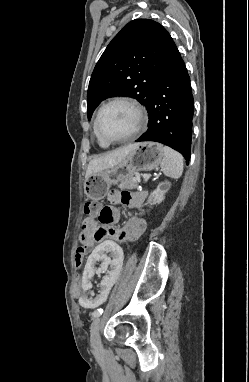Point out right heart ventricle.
Here are the masks:
<instances>
[{"label": "right heart ventricle", "instance_id": "1", "mask_svg": "<svg viewBox=\"0 0 249 382\" xmlns=\"http://www.w3.org/2000/svg\"><path fill=\"white\" fill-rule=\"evenodd\" d=\"M93 131H94V134H95V136H96V138H97L98 144H99L102 148H106V147H108L109 144L103 142V141L98 137V135H97V133H96V129H95V124H94V127H93Z\"/></svg>", "mask_w": 249, "mask_h": 382}]
</instances>
